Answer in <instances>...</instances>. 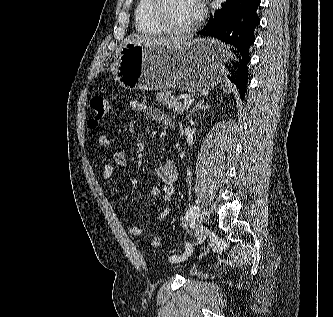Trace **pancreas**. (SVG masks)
I'll return each instance as SVG.
<instances>
[{"label":"pancreas","instance_id":"pancreas-1","mask_svg":"<svg viewBox=\"0 0 333 317\" xmlns=\"http://www.w3.org/2000/svg\"><path fill=\"white\" fill-rule=\"evenodd\" d=\"M156 100L161 105H165L168 109L178 114H182L188 106L182 104L178 98H175L171 90H163L157 93Z\"/></svg>","mask_w":333,"mask_h":317}]
</instances>
